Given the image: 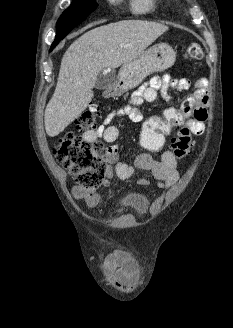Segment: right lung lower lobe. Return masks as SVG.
Returning a JSON list of instances; mask_svg holds the SVG:
<instances>
[{
    "label": "right lung lower lobe",
    "instance_id": "98d812e1",
    "mask_svg": "<svg viewBox=\"0 0 233 328\" xmlns=\"http://www.w3.org/2000/svg\"><path fill=\"white\" fill-rule=\"evenodd\" d=\"M81 22H63V23H57V34L55 41L53 42L50 51L59 43L60 40H62L75 26L80 24Z\"/></svg>",
    "mask_w": 233,
    "mask_h": 328
}]
</instances>
